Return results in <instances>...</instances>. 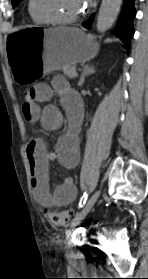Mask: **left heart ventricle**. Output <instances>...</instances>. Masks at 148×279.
I'll use <instances>...</instances> for the list:
<instances>
[{
  "label": "left heart ventricle",
  "mask_w": 148,
  "mask_h": 279,
  "mask_svg": "<svg viewBox=\"0 0 148 279\" xmlns=\"http://www.w3.org/2000/svg\"><path fill=\"white\" fill-rule=\"evenodd\" d=\"M82 0H37V9L45 15L71 18L83 10Z\"/></svg>",
  "instance_id": "left-heart-ventricle-1"
}]
</instances>
